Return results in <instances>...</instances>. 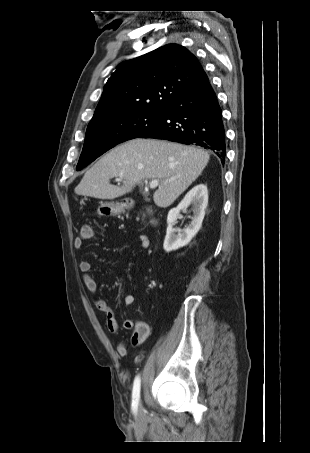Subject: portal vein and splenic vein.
<instances>
[{"instance_id":"18ae733b","label":"portal vein and splenic vein","mask_w":310,"mask_h":453,"mask_svg":"<svg viewBox=\"0 0 310 453\" xmlns=\"http://www.w3.org/2000/svg\"><path fill=\"white\" fill-rule=\"evenodd\" d=\"M116 181H117V182H120L121 179H120V178H117ZM158 185H159V180H157V179H154V180H152V181L149 183V187H150L151 189L156 188Z\"/></svg>"}]
</instances>
